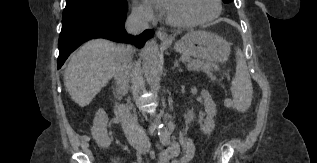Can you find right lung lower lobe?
I'll return each mask as SVG.
<instances>
[{"instance_id":"98d812e1","label":"right lung lower lobe","mask_w":317,"mask_h":163,"mask_svg":"<svg viewBox=\"0 0 317 163\" xmlns=\"http://www.w3.org/2000/svg\"><path fill=\"white\" fill-rule=\"evenodd\" d=\"M125 11L99 12L84 19L62 25L59 37V57L57 68L60 69L68 56L82 43L93 38H106L116 42H133L142 47L152 37L154 31L146 30L137 37H131L124 28Z\"/></svg>"}]
</instances>
